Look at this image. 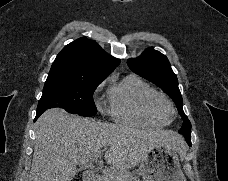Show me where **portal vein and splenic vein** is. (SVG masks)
Here are the masks:
<instances>
[{
	"label": "portal vein and splenic vein",
	"instance_id": "18ae733b",
	"mask_svg": "<svg viewBox=\"0 0 228 181\" xmlns=\"http://www.w3.org/2000/svg\"><path fill=\"white\" fill-rule=\"evenodd\" d=\"M101 155H103V151H98V153H96V157H93L91 163H93V161H97V157H101Z\"/></svg>",
	"mask_w": 228,
	"mask_h": 181
}]
</instances>
